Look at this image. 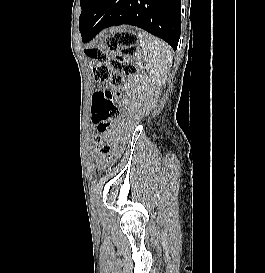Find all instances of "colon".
Segmentation results:
<instances>
[{"mask_svg": "<svg viewBox=\"0 0 265 273\" xmlns=\"http://www.w3.org/2000/svg\"><path fill=\"white\" fill-rule=\"evenodd\" d=\"M138 53V38L135 34L127 31H119L105 38L103 47H92L86 50V55L96 64L92 67L95 81L104 82L109 80L114 87L122 83L123 76L136 72L133 57ZM110 57L109 69L105 62ZM118 91L104 90L93 94L91 105V120L97 125L94 145L99 152L100 160L108 158L114 147L110 120L119 114L120 106L117 98Z\"/></svg>", "mask_w": 265, "mask_h": 273, "instance_id": "1", "label": "colon"}]
</instances>
